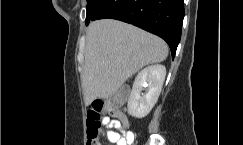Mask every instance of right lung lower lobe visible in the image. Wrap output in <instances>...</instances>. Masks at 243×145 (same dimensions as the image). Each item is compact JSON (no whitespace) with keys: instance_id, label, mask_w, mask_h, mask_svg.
Masks as SVG:
<instances>
[{"instance_id":"right-lung-lower-lobe-1","label":"right lung lower lobe","mask_w":243,"mask_h":145,"mask_svg":"<svg viewBox=\"0 0 243 145\" xmlns=\"http://www.w3.org/2000/svg\"><path fill=\"white\" fill-rule=\"evenodd\" d=\"M105 18L121 20L160 36L174 58L181 38L184 0H93L87 6L86 25Z\"/></svg>"}]
</instances>
